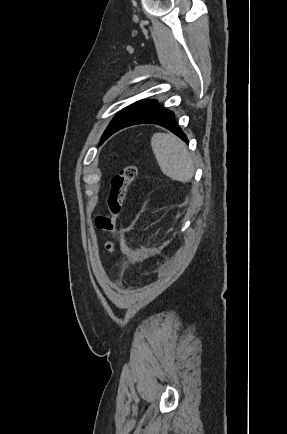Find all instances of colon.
<instances>
[{
  "label": "colon",
  "instance_id": "5ec220e1",
  "mask_svg": "<svg viewBox=\"0 0 287 434\" xmlns=\"http://www.w3.org/2000/svg\"><path fill=\"white\" fill-rule=\"evenodd\" d=\"M137 174V167L132 163H127L119 173L112 177L105 200V211L99 213L95 218L96 227L103 234L102 248L108 254L113 250L111 237L114 232L115 219L121 213L128 189Z\"/></svg>",
  "mask_w": 287,
  "mask_h": 434
}]
</instances>
